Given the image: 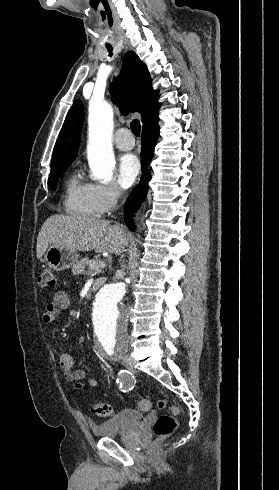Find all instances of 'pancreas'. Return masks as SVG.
I'll list each match as a JSON object with an SVG mask.
<instances>
[{"label":"pancreas","mask_w":279,"mask_h":490,"mask_svg":"<svg viewBox=\"0 0 279 490\" xmlns=\"http://www.w3.org/2000/svg\"><path fill=\"white\" fill-rule=\"evenodd\" d=\"M90 264H91V260H86V258H84V260H81V262H76V264H74L72 268L73 274H87V276H89V274H95V272H101V270L105 268V264H99V262H97L95 266H90ZM86 266H89V268H87V272H86Z\"/></svg>","instance_id":"obj_1"}]
</instances>
